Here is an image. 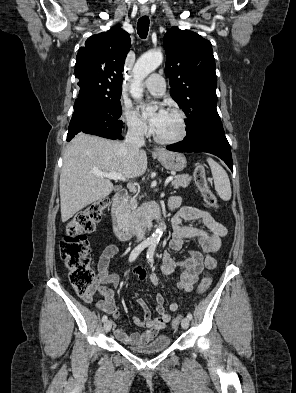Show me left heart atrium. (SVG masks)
I'll list each match as a JSON object with an SVG mask.
<instances>
[{
	"label": "left heart atrium",
	"mask_w": 296,
	"mask_h": 393,
	"mask_svg": "<svg viewBox=\"0 0 296 393\" xmlns=\"http://www.w3.org/2000/svg\"><path fill=\"white\" fill-rule=\"evenodd\" d=\"M167 111L164 108H159L157 112L153 115L151 120V125L154 130L158 128L162 119L165 117Z\"/></svg>",
	"instance_id": "39dd6f15"
}]
</instances>
